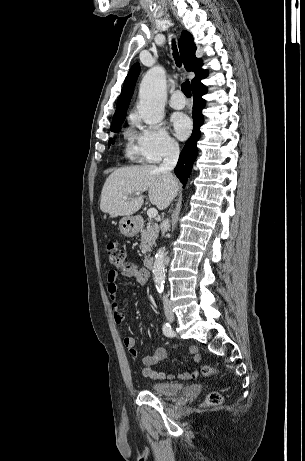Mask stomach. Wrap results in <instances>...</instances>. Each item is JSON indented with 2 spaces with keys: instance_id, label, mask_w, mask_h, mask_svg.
Listing matches in <instances>:
<instances>
[{
  "instance_id": "obj_1",
  "label": "stomach",
  "mask_w": 305,
  "mask_h": 461,
  "mask_svg": "<svg viewBox=\"0 0 305 461\" xmlns=\"http://www.w3.org/2000/svg\"><path fill=\"white\" fill-rule=\"evenodd\" d=\"M120 232L126 237H133L139 231L138 223L135 217L124 216L119 221Z\"/></svg>"
}]
</instances>
